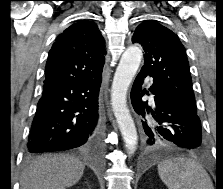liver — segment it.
I'll return each mask as SVG.
<instances>
[{
  "instance_id": "6515ba94",
  "label": "liver",
  "mask_w": 223,
  "mask_h": 189,
  "mask_svg": "<svg viewBox=\"0 0 223 189\" xmlns=\"http://www.w3.org/2000/svg\"><path fill=\"white\" fill-rule=\"evenodd\" d=\"M84 169L83 162L68 155L42 156L24 169L20 189H66L81 179Z\"/></svg>"
}]
</instances>
